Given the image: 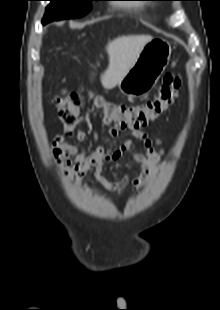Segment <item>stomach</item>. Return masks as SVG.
<instances>
[{"label": "stomach", "mask_w": 220, "mask_h": 310, "mask_svg": "<svg viewBox=\"0 0 220 310\" xmlns=\"http://www.w3.org/2000/svg\"><path fill=\"white\" fill-rule=\"evenodd\" d=\"M171 45L163 38H152L142 49L135 63L118 83L120 91L137 98L148 94L169 64Z\"/></svg>", "instance_id": "0dacf381"}]
</instances>
